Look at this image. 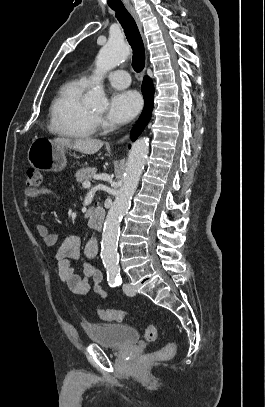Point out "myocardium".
Here are the masks:
<instances>
[{
    "label": "myocardium",
    "mask_w": 265,
    "mask_h": 407,
    "mask_svg": "<svg viewBox=\"0 0 265 407\" xmlns=\"http://www.w3.org/2000/svg\"><path fill=\"white\" fill-rule=\"evenodd\" d=\"M91 114H92V116H93V118H94V120H95V124H97V123H98V119L100 118V115L97 114V113H95V112H93V111H91Z\"/></svg>",
    "instance_id": "obj_1"
}]
</instances>
